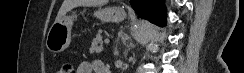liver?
Wrapping results in <instances>:
<instances>
[{
    "label": "liver",
    "instance_id": "liver-1",
    "mask_svg": "<svg viewBox=\"0 0 244 73\" xmlns=\"http://www.w3.org/2000/svg\"><path fill=\"white\" fill-rule=\"evenodd\" d=\"M106 3V0H64L57 14L56 20L59 21L71 9L78 6H97Z\"/></svg>",
    "mask_w": 244,
    "mask_h": 73
}]
</instances>
